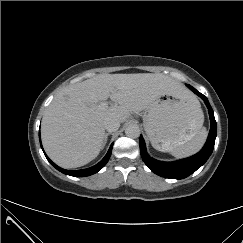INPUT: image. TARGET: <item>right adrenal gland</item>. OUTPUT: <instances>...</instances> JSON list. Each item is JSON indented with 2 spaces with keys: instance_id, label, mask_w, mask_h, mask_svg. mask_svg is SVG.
<instances>
[{
  "instance_id": "2a0ac1e0",
  "label": "right adrenal gland",
  "mask_w": 243,
  "mask_h": 243,
  "mask_svg": "<svg viewBox=\"0 0 243 243\" xmlns=\"http://www.w3.org/2000/svg\"><path fill=\"white\" fill-rule=\"evenodd\" d=\"M111 134H112V133H110V132L105 134L102 149L105 147V145H106V143H107L108 136L111 135Z\"/></svg>"
}]
</instances>
